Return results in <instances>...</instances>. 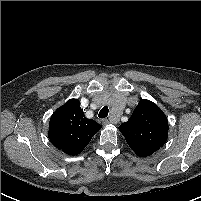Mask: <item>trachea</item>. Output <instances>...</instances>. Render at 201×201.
<instances>
[{
    "instance_id": "1",
    "label": "trachea",
    "mask_w": 201,
    "mask_h": 201,
    "mask_svg": "<svg viewBox=\"0 0 201 201\" xmlns=\"http://www.w3.org/2000/svg\"><path fill=\"white\" fill-rule=\"evenodd\" d=\"M108 113H109L108 106H104V107L100 110L98 116H99V118H105V117L108 116Z\"/></svg>"
}]
</instances>
